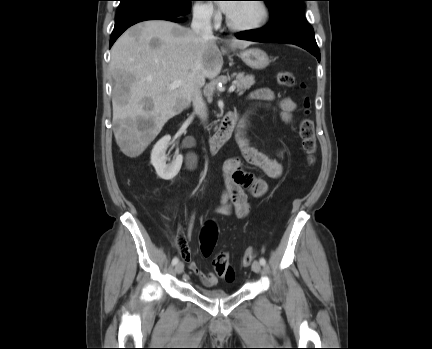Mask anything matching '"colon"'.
Returning <instances> with one entry per match:
<instances>
[{"instance_id": "obj_1", "label": "colon", "mask_w": 432, "mask_h": 349, "mask_svg": "<svg viewBox=\"0 0 432 349\" xmlns=\"http://www.w3.org/2000/svg\"><path fill=\"white\" fill-rule=\"evenodd\" d=\"M277 82L279 85L284 87H292L295 85L294 75L289 71H280L277 74ZM305 116L301 119L299 125V136L302 143V148L307 156L309 163H313L315 160V154L317 150V142L315 135L314 122L309 116L310 102L308 99L305 100ZM218 237V230L214 224H207L201 233V251L204 256H210L215 247ZM255 251L249 248L245 251L241 265L243 267L249 266L255 258ZM213 267L219 277L226 281H233L235 277L234 269L231 265L229 255L226 253H220L214 257Z\"/></svg>"}]
</instances>
